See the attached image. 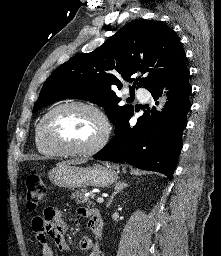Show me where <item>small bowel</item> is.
I'll return each instance as SVG.
<instances>
[{
  "mask_svg": "<svg viewBox=\"0 0 221 256\" xmlns=\"http://www.w3.org/2000/svg\"><path fill=\"white\" fill-rule=\"evenodd\" d=\"M77 213L88 219V227L93 233L98 234L101 231L102 220L99 218L100 214L97 210L80 207ZM32 230L42 246V256H54L53 248L48 239L52 240L58 250L69 251V246L65 240L68 224L59 210L47 207L43 215L35 216L32 219ZM79 247L81 250H89L88 256H101L98 246L88 236L80 238Z\"/></svg>",
  "mask_w": 221,
  "mask_h": 256,
  "instance_id": "c3829d8e",
  "label": "small bowel"
}]
</instances>
